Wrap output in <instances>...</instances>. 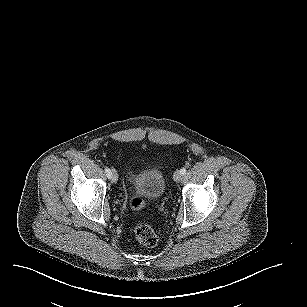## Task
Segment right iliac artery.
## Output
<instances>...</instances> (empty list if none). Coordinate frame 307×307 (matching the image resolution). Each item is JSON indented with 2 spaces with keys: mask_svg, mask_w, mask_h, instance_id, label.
Instances as JSON below:
<instances>
[{
  "mask_svg": "<svg viewBox=\"0 0 307 307\" xmlns=\"http://www.w3.org/2000/svg\"><path fill=\"white\" fill-rule=\"evenodd\" d=\"M105 172H106L107 177L110 179L111 178V171L108 167H105Z\"/></svg>",
  "mask_w": 307,
  "mask_h": 307,
  "instance_id": "1",
  "label": "right iliac artery"
}]
</instances>
